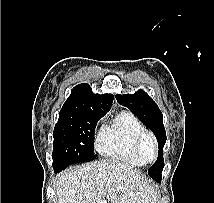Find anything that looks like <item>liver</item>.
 <instances>
[{"instance_id":"obj_1","label":"liver","mask_w":214,"mask_h":203,"mask_svg":"<svg viewBox=\"0 0 214 203\" xmlns=\"http://www.w3.org/2000/svg\"><path fill=\"white\" fill-rule=\"evenodd\" d=\"M58 203H154L152 180L127 164L104 160L67 169L57 176Z\"/></svg>"}]
</instances>
